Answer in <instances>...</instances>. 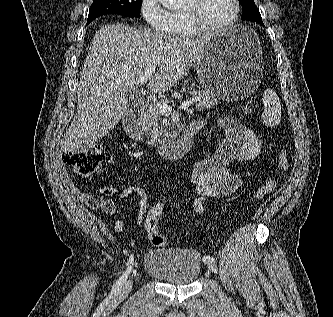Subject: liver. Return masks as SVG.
Listing matches in <instances>:
<instances>
[{
    "instance_id": "1",
    "label": "liver",
    "mask_w": 333,
    "mask_h": 317,
    "mask_svg": "<svg viewBox=\"0 0 333 317\" xmlns=\"http://www.w3.org/2000/svg\"><path fill=\"white\" fill-rule=\"evenodd\" d=\"M210 36L187 38L114 23L94 35L77 84V112L63 152L85 151L132 112L126 93L147 83L165 92L187 75ZM157 67V71L150 69Z\"/></svg>"
}]
</instances>
